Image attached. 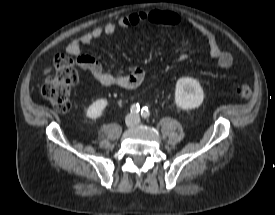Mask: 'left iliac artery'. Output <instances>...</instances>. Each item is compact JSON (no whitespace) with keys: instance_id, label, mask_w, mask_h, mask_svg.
<instances>
[{"instance_id":"1","label":"left iliac artery","mask_w":275,"mask_h":215,"mask_svg":"<svg viewBox=\"0 0 275 215\" xmlns=\"http://www.w3.org/2000/svg\"><path fill=\"white\" fill-rule=\"evenodd\" d=\"M141 116L143 118H145V119L150 116V112H149V110H148L147 107L142 108V110H141Z\"/></svg>"}]
</instances>
